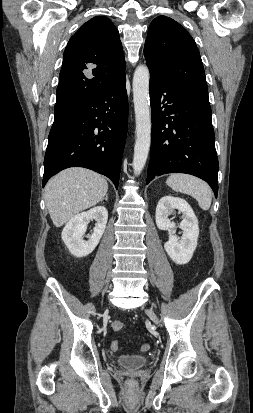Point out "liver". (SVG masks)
<instances>
[{"label":"liver","mask_w":253,"mask_h":413,"mask_svg":"<svg viewBox=\"0 0 253 413\" xmlns=\"http://www.w3.org/2000/svg\"><path fill=\"white\" fill-rule=\"evenodd\" d=\"M108 184L103 176L85 168H69L52 177L45 187V202L56 227L104 199Z\"/></svg>","instance_id":"1"}]
</instances>
